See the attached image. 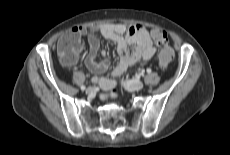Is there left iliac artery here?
Listing matches in <instances>:
<instances>
[{"label": "left iliac artery", "mask_w": 230, "mask_h": 155, "mask_svg": "<svg viewBox=\"0 0 230 155\" xmlns=\"http://www.w3.org/2000/svg\"><path fill=\"white\" fill-rule=\"evenodd\" d=\"M151 72V69H147V73H150Z\"/></svg>", "instance_id": "1"}]
</instances>
